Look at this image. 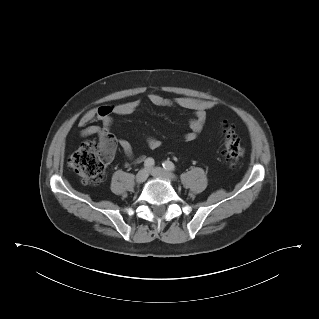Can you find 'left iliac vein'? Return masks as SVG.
I'll return each mask as SVG.
<instances>
[{
    "label": "left iliac vein",
    "mask_w": 319,
    "mask_h": 319,
    "mask_svg": "<svg viewBox=\"0 0 319 319\" xmlns=\"http://www.w3.org/2000/svg\"><path fill=\"white\" fill-rule=\"evenodd\" d=\"M150 174L156 178H161V179H165V180H175L176 179V176L163 169V168H160V167H154L150 170Z\"/></svg>",
    "instance_id": "left-iliac-vein-1"
}]
</instances>
